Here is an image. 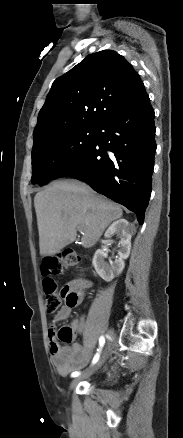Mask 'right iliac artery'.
Wrapping results in <instances>:
<instances>
[{
  "label": "right iliac artery",
  "mask_w": 183,
  "mask_h": 438,
  "mask_svg": "<svg viewBox=\"0 0 183 438\" xmlns=\"http://www.w3.org/2000/svg\"><path fill=\"white\" fill-rule=\"evenodd\" d=\"M104 344H105V337H104V336H101V337L99 338L100 350H101V348L104 346ZM100 350H99L98 353H96V355L94 356V358H93V360H92V364H95V363L99 360V357H100ZM79 375H80V372H79V371H75V372H73V373L71 374V377H77V376H79Z\"/></svg>",
  "instance_id": "1"
}]
</instances>
